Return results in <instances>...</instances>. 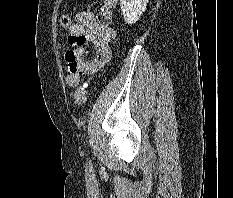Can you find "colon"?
I'll return each mask as SVG.
<instances>
[{
    "instance_id": "1",
    "label": "colon",
    "mask_w": 233,
    "mask_h": 198,
    "mask_svg": "<svg viewBox=\"0 0 233 198\" xmlns=\"http://www.w3.org/2000/svg\"><path fill=\"white\" fill-rule=\"evenodd\" d=\"M59 24L61 28L67 30L72 24L71 18L67 15H63L59 19ZM68 58V71L74 72L77 69L76 63H75V57L73 54L69 53L67 55ZM86 93H87V88L85 85H80L77 87L75 93H74V101L77 105H82L86 101Z\"/></svg>"
}]
</instances>
